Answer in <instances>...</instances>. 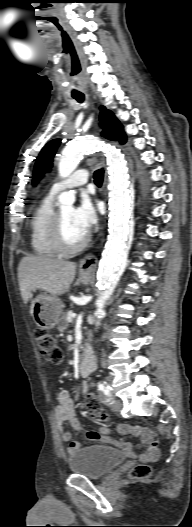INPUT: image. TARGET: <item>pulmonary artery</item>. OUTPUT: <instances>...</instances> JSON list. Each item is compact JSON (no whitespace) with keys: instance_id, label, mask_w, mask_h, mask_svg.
I'll return each mask as SVG.
<instances>
[{"instance_id":"obj_1","label":"pulmonary artery","mask_w":192,"mask_h":527,"mask_svg":"<svg viewBox=\"0 0 192 527\" xmlns=\"http://www.w3.org/2000/svg\"><path fill=\"white\" fill-rule=\"evenodd\" d=\"M88 178V171L86 169H79L67 178L54 183L50 189V195L54 196L66 189L82 186L88 181Z\"/></svg>"}]
</instances>
